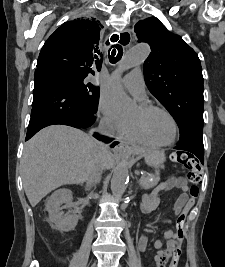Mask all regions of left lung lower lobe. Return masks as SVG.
I'll list each match as a JSON object with an SVG mask.
<instances>
[{
	"mask_svg": "<svg viewBox=\"0 0 225 267\" xmlns=\"http://www.w3.org/2000/svg\"><path fill=\"white\" fill-rule=\"evenodd\" d=\"M175 149L184 150L197 156L199 161L204 164V145L203 138L194 137L183 144H178ZM189 155L193 156L192 154Z\"/></svg>",
	"mask_w": 225,
	"mask_h": 267,
	"instance_id": "1",
	"label": "left lung lower lobe"
}]
</instances>
